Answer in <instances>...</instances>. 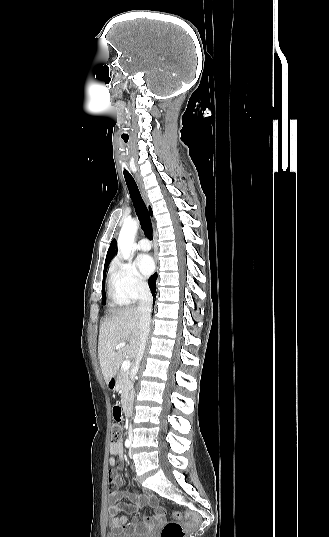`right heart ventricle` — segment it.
Returning a JSON list of instances; mask_svg holds the SVG:
<instances>
[{
	"mask_svg": "<svg viewBox=\"0 0 329 537\" xmlns=\"http://www.w3.org/2000/svg\"><path fill=\"white\" fill-rule=\"evenodd\" d=\"M108 295H109V298H110V302H111V304L113 306H121V305H125L127 303L115 291L110 279H109V283H108Z\"/></svg>",
	"mask_w": 329,
	"mask_h": 537,
	"instance_id": "1",
	"label": "right heart ventricle"
}]
</instances>
